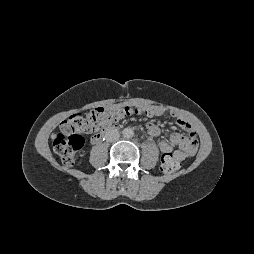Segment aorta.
Returning a JSON list of instances; mask_svg holds the SVG:
<instances>
[{"label": "aorta", "instance_id": "obj_1", "mask_svg": "<svg viewBox=\"0 0 254 254\" xmlns=\"http://www.w3.org/2000/svg\"><path fill=\"white\" fill-rule=\"evenodd\" d=\"M122 134H123L124 138L129 139L134 136V131L131 128H125V129H123Z\"/></svg>", "mask_w": 254, "mask_h": 254}]
</instances>
